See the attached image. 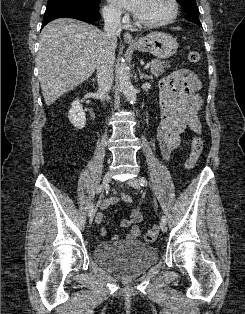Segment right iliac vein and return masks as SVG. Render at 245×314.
<instances>
[{"label":"right iliac vein","instance_id":"right-iliac-vein-1","mask_svg":"<svg viewBox=\"0 0 245 314\" xmlns=\"http://www.w3.org/2000/svg\"><path fill=\"white\" fill-rule=\"evenodd\" d=\"M111 182V173L110 172H107L104 177H103V181H102V190H107L108 189V186ZM95 210L91 211L89 214H88V217H89V222L92 223L93 219H94V216H95Z\"/></svg>","mask_w":245,"mask_h":314}]
</instances>
